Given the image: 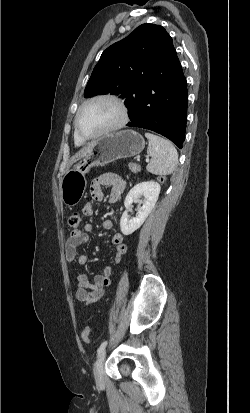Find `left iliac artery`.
<instances>
[{"label":"left iliac artery","instance_id":"left-iliac-artery-1","mask_svg":"<svg viewBox=\"0 0 250 413\" xmlns=\"http://www.w3.org/2000/svg\"><path fill=\"white\" fill-rule=\"evenodd\" d=\"M107 345V341H104L97 350L98 355L102 353Z\"/></svg>","mask_w":250,"mask_h":413}]
</instances>
